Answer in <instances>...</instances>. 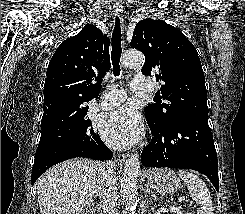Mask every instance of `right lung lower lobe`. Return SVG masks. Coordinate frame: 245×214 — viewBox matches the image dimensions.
I'll return each instance as SVG.
<instances>
[{
  "label": "right lung lower lobe",
  "instance_id": "1",
  "mask_svg": "<svg viewBox=\"0 0 245 214\" xmlns=\"http://www.w3.org/2000/svg\"><path fill=\"white\" fill-rule=\"evenodd\" d=\"M94 141L85 148L74 147L67 141L39 142L34 166L32 168V184L51 166L75 157H86L95 160H110L112 151L102 142L98 133Z\"/></svg>",
  "mask_w": 245,
  "mask_h": 214
}]
</instances>
